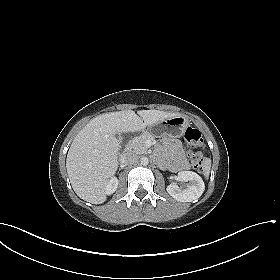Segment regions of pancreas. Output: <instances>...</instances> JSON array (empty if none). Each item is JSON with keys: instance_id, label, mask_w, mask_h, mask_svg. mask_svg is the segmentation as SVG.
<instances>
[{"instance_id": "cf45deb5", "label": "pancreas", "mask_w": 280, "mask_h": 280, "mask_svg": "<svg viewBox=\"0 0 280 280\" xmlns=\"http://www.w3.org/2000/svg\"><path fill=\"white\" fill-rule=\"evenodd\" d=\"M154 137L149 132H144L140 136L135 137L131 143L130 148L136 154H145L147 153V147L145 145L146 140H153Z\"/></svg>"}]
</instances>
